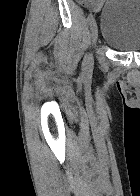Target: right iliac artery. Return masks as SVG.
Listing matches in <instances>:
<instances>
[{
    "instance_id": "obj_1",
    "label": "right iliac artery",
    "mask_w": 140,
    "mask_h": 196,
    "mask_svg": "<svg viewBox=\"0 0 140 196\" xmlns=\"http://www.w3.org/2000/svg\"><path fill=\"white\" fill-rule=\"evenodd\" d=\"M88 20H89V23L93 20V15L92 14H89Z\"/></svg>"
}]
</instances>
